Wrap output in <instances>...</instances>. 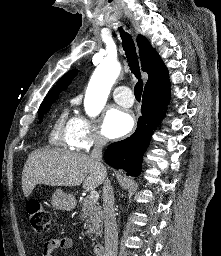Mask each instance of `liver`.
Masks as SVG:
<instances>
[{"mask_svg":"<svg viewBox=\"0 0 221 256\" xmlns=\"http://www.w3.org/2000/svg\"><path fill=\"white\" fill-rule=\"evenodd\" d=\"M82 183L85 189H93L103 183L102 171L91 156L83 153L60 149L35 150L28 156L22 171V189L26 198L36 185L74 187Z\"/></svg>","mask_w":221,"mask_h":256,"instance_id":"liver-1","label":"liver"}]
</instances>
